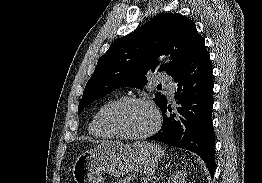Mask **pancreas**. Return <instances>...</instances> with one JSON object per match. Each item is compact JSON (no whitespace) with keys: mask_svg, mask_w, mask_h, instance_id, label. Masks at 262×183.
<instances>
[{"mask_svg":"<svg viewBox=\"0 0 262 183\" xmlns=\"http://www.w3.org/2000/svg\"><path fill=\"white\" fill-rule=\"evenodd\" d=\"M134 179V176H126L125 178H123L122 180H120L117 183H131V181Z\"/></svg>","mask_w":262,"mask_h":183,"instance_id":"pancreas-1","label":"pancreas"}]
</instances>
